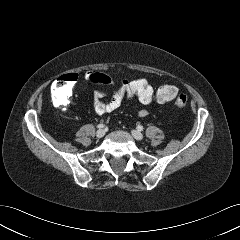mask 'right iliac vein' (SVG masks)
<instances>
[{"mask_svg":"<svg viewBox=\"0 0 240 240\" xmlns=\"http://www.w3.org/2000/svg\"><path fill=\"white\" fill-rule=\"evenodd\" d=\"M104 135H105V130H104V129H99V130H97L96 136H97L98 138H102Z\"/></svg>","mask_w":240,"mask_h":240,"instance_id":"1","label":"right iliac vein"}]
</instances>
